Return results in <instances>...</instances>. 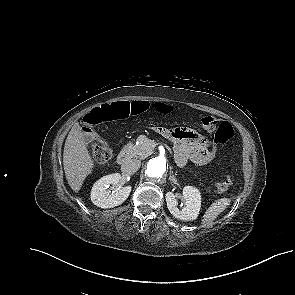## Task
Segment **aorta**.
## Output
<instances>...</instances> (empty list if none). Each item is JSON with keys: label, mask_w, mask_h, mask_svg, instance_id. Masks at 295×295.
Returning <instances> with one entry per match:
<instances>
[{"label": "aorta", "mask_w": 295, "mask_h": 295, "mask_svg": "<svg viewBox=\"0 0 295 295\" xmlns=\"http://www.w3.org/2000/svg\"><path fill=\"white\" fill-rule=\"evenodd\" d=\"M167 169L166 161L161 157H155L148 161L146 174L151 179H160L166 175Z\"/></svg>", "instance_id": "1"}]
</instances>
